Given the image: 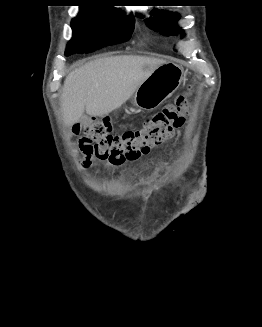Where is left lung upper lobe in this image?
I'll return each instance as SVG.
<instances>
[{"label":"left lung upper lobe","instance_id":"5c2ea615","mask_svg":"<svg viewBox=\"0 0 262 327\" xmlns=\"http://www.w3.org/2000/svg\"><path fill=\"white\" fill-rule=\"evenodd\" d=\"M138 17H142L141 15H137ZM152 19H146V25L155 30L160 31V33L169 36L178 34V26L177 21L179 20L178 14L163 12V11H154ZM180 35L183 37L185 34L180 29Z\"/></svg>","mask_w":262,"mask_h":327}]
</instances>
